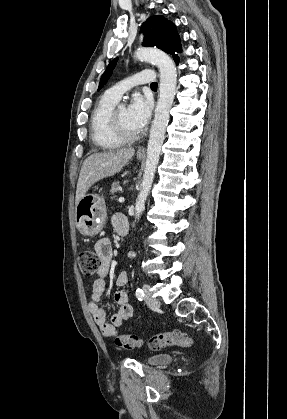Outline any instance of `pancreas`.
Segmentation results:
<instances>
[{"instance_id":"pancreas-1","label":"pancreas","mask_w":287,"mask_h":419,"mask_svg":"<svg viewBox=\"0 0 287 419\" xmlns=\"http://www.w3.org/2000/svg\"><path fill=\"white\" fill-rule=\"evenodd\" d=\"M119 188H120V185H119V182L118 181L117 182H114L112 184L111 191H110V194H111V198L112 199L115 198V193L119 190Z\"/></svg>"}]
</instances>
